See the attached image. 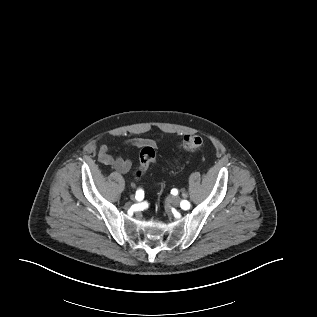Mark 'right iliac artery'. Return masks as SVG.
I'll return each mask as SVG.
<instances>
[{
    "label": "right iliac artery",
    "instance_id": "obj_1",
    "mask_svg": "<svg viewBox=\"0 0 317 317\" xmlns=\"http://www.w3.org/2000/svg\"><path fill=\"white\" fill-rule=\"evenodd\" d=\"M144 198V191L142 189H138L136 191L135 199L141 201Z\"/></svg>",
    "mask_w": 317,
    "mask_h": 317
}]
</instances>
